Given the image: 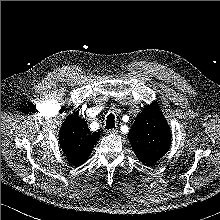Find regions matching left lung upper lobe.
Instances as JSON below:
<instances>
[{"label": "left lung upper lobe", "mask_w": 220, "mask_h": 220, "mask_svg": "<svg viewBox=\"0 0 220 220\" xmlns=\"http://www.w3.org/2000/svg\"><path fill=\"white\" fill-rule=\"evenodd\" d=\"M137 158L152 165L166 154L171 145V132L157 102L146 106L136 117L128 133Z\"/></svg>", "instance_id": "5c2ea615"}]
</instances>
